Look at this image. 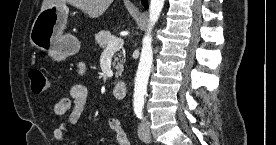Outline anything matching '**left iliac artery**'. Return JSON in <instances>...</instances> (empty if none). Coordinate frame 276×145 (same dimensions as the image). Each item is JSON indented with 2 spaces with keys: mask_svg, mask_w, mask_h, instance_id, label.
<instances>
[{
  "mask_svg": "<svg viewBox=\"0 0 276 145\" xmlns=\"http://www.w3.org/2000/svg\"><path fill=\"white\" fill-rule=\"evenodd\" d=\"M135 114L139 119H142L143 117V108L138 106L134 108Z\"/></svg>",
  "mask_w": 276,
  "mask_h": 145,
  "instance_id": "1",
  "label": "left iliac artery"
}]
</instances>
